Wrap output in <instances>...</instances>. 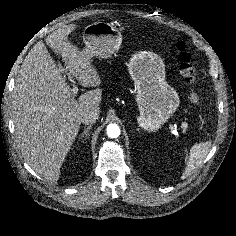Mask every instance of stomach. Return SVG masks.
Segmentation results:
<instances>
[{
    "label": "stomach",
    "mask_w": 236,
    "mask_h": 236,
    "mask_svg": "<svg viewBox=\"0 0 236 236\" xmlns=\"http://www.w3.org/2000/svg\"><path fill=\"white\" fill-rule=\"evenodd\" d=\"M83 40L82 52L89 60L94 56L109 58L120 48L122 35L110 23L95 22L85 27ZM127 66L137 91L138 125L148 132H157L177 110L179 95L166 82L165 65L156 53L139 51Z\"/></svg>",
    "instance_id": "stomach-1"
}]
</instances>
